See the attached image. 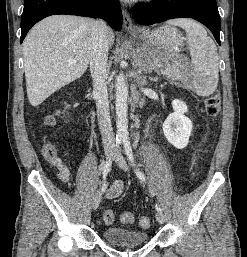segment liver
I'll list each match as a JSON object with an SVG mask.
<instances>
[{
    "instance_id": "6515ba94",
    "label": "liver",
    "mask_w": 247,
    "mask_h": 257,
    "mask_svg": "<svg viewBox=\"0 0 247 257\" xmlns=\"http://www.w3.org/2000/svg\"><path fill=\"white\" fill-rule=\"evenodd\" d=\"M94 21L71 15H53L37 23L23 42L27 96L34 107L80 78L91 58ZM109 46L114 32L109 29Z\"/></svg>"
}]
</instances>
